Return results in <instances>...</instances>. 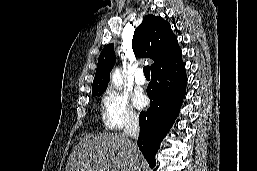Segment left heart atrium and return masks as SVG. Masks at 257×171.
<instances>
[{
	"label": "left heart atrium",
	"mask_w": 257,
	"mask_h": 171,
	"mask_svg": "<svg viewBox=\"0 0 257 171\" xmlns=\"http://www.w3.org/2000/svg\"><path fill=\"white\" fill-rule=\"evenodd\" d=\"M134 104L137 108H144L147 105V98L142 94H137L134 97Z\"/></svg>",
	"instance_id": "obj_1"
}]
</instances>
